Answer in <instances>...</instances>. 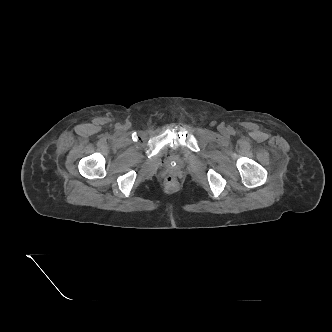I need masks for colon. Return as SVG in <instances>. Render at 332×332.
I'll return each mask as SVG.
<instances>
[{
	"label": "colon",
	"mask_w": 332,
	"mask_h": 332,
	"mask_svg": "<svg viewBox=\"0 0 332 332\" xmlns=\"http://www.w3.org/2000/svg\"><path fill=\"white\" fill-rule=\"evenodd\" d=\"M164 183H165V187L167 189H171V190L175 189L178 185L177 179L172 175H168L165 178Z\"/></svg>",
	"instance_id": "colon-1"
}]
</instances>
